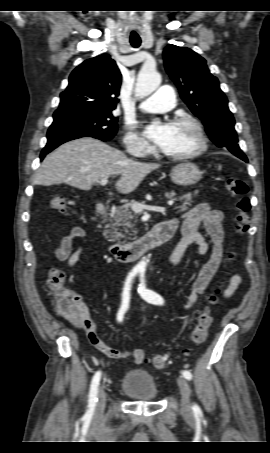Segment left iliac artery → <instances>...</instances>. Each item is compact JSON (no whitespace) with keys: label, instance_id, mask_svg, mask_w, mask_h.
Masks as SVG:
<instances>
[{"label":"left iliac artery","instance_id":"44dca946","mask_svg":"<svg viewBox=\"0 0 270 453\" xmlns=\"http://www.w3.org/2000/svg\"><path fill=\"white\" fill-rule=\"evenodd\" d=\"M138 292L140 293L141 297L149 303L156 304V305H162L164 303L163 298L159 294H157L156 292H154L152 290L146 289L143 273L141 274V283L139 284ZM182 375L187 380L192 379V374L188 370H184L182 372ZM193 410L199 411L200 408L198 405L194 404Z\"/></svg>","mask_w":270,"mask_h":453}]
</instances>
